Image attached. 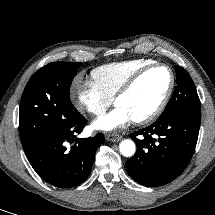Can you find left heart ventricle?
<instances>
[{
    "mask_svg": "<svg viewBox=\"0 0 215 215\" xmlns=\"http://www.w3.org/2000/svg\"><path fill=\"white\" fill-rule=\"evenodd\" d=\"M170 83V74L166 68H155L145 74L125 96L115 103L125 107L134 119L152 112L162 100Z\"/></svg>",
    "mask_w": 215,
    "mask_h": 215,
    "instance_id": "obj_1",
    "label": "left heart ventricle"
}]
</instances>
